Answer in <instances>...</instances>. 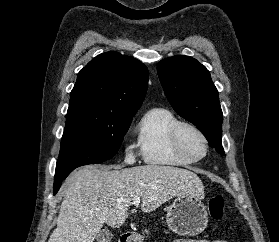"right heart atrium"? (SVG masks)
<instances>
[{
	"instance_id": "obj_1",
	"label": "right heart atrium",
	"mask_w": 279,
	"mask_h": 242,
	"mask_svg": "<svg viewBox=\"0 0 279 242\" xmlns=\"http://www.w3.org/2000/svg\"><path fill=\"white\" fill-rule=\"evenodd\" d=\"M136 156L135 154L129 150V149H125L124 150V161L127 164H132L135 162Z\"/></svg>"
}]
</instances>
